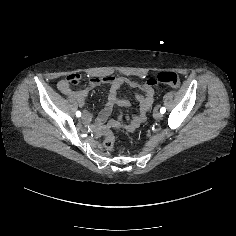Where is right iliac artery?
Instances as JSON below:
<instances>
[{"label": "right iliac artery", "mask_w": 236, "mask_h": 236, "mask_svg": "<svg viewBox=\"0 0 236 236\" xmlns=\"http://www.w3.org/2000/svg\"><path fill=\"white\" fill-rule=\"evenodd\" d=\"M76 116H77V117H80V116H81V112H80V111H77V112H76Z\"/></svg>", "instance_id": "obj_1"}]
</instances>
